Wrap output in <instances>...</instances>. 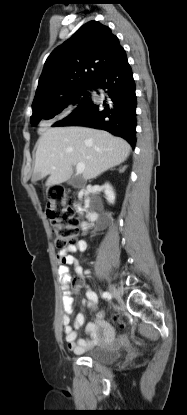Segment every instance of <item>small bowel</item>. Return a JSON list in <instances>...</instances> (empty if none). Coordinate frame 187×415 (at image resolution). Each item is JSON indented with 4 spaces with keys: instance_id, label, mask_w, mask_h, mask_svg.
Returning <instances> with one entry per match:
<instances>
[{
    "instance_id": "c3829d8e",
    "label": "small bowel",
    "mask_w": 187,
    "mask_h": 415,
    "mask_svg": "<svg viewBox=\"0 0 187 415\" xmlns=\"http://www.w3.org/2000/svg\"><path fill=\"white\" fill-rule=\"evenodd\" d=\"M86 247V242L79 240L64 249H60L57 253L58 259L63 262L58 269L60 283L64 290L62 299L65 312L62 317L63 330L69 349L75 353H83L97 347L114 346L119 342V339L115 338L113 327L104 320L103 312L98 310L96 293L83 280L84 273L82 267L75 262L74 257L71 255L73 252L86 250ZM72 264H74L76 274L81 278L78 286H84L86 288L85 299H83L82 305L89 308L95 314L94 322L86 326L88 338L83 339L77 338V330L85 323L84 313H78L73 323L71 324L70 322V314L73 312L75 301V288L70 285L71 274L69 265Z\"/></svg>"
}]
</instances>
